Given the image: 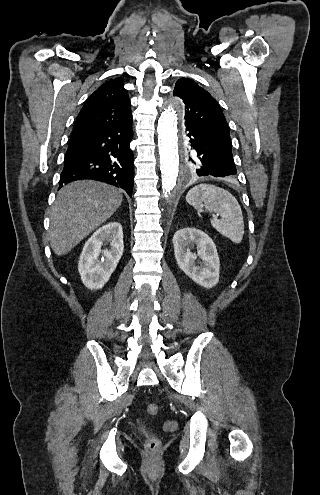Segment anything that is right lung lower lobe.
Listing matches in <instances>:
<instances>
[{"label":"right lung lower lobe","instance_id":"1","mask_svg":"<svg viewBox=\"0 0 320 495\" xmlns=\"http://www.w3.org/2000/svg\"><path fill=\"white\" fill-rule=\"evenodd\" d=\"M132 138V122L71 137L59 188L75 180L93 179L122 188L131 197L134 182Z\"/></svg>","mask_w":320,"mask_h":495}]
</instances>
